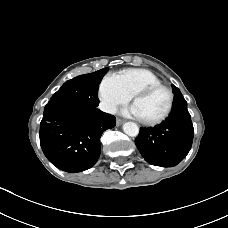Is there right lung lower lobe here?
<instances>
[{"mask_svg": "<svg viewBox=\"0 0 228 228\" xmlns=\"http://www.w3.org/2000/svg\"><path fill=\"white\" fill-rule=\"evenodd\" d=\"M115 119L97 107L48 103L40 123V145L57 168L71 173L87 170L97 162L100 137L116 125Z\"/></svg>", "mask_w": 228, "mask_h": 228, "instance_id": "1", "label": "right lung lower lobe"}]
</instances>
